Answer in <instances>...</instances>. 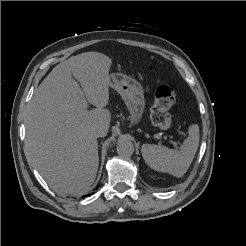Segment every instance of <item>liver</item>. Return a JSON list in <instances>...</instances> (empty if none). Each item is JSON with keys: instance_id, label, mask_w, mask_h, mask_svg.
<instances>
[{"instance_id": "1", "label": "liver", "mask_w": 246, "mask_h": 246, "mask_svg": "<svg viewBox=\"0 0 246 246\" xmlns=\"http://www.w3.org/2000/svg\"><path fill=\"white\" fill-rule=\"evenodd\" d=\"M111 65L112 60L98 52L73 56L53 68L30 101L27 155L55 192L81 196L94 183L99 156L93 130L103 128V136L108 132ZM83 100L96 108L87 110Z\"/></svg>"}]
</instances>
